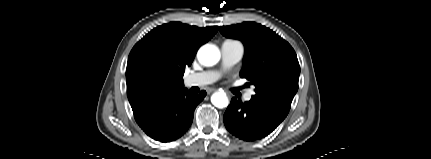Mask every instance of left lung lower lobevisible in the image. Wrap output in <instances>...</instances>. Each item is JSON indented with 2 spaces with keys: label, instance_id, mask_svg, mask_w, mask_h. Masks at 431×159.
I'll return each instance as SVG.
<instances>
[{
  "label": "left lung lower lobe",
  "instance_id": "1",
  "mask_svg": "<svg viewBox=\"0 0 431 159\" xmlns=\"http://www.w3.org/2000/svg\"><path fill=\"white\" fill-rule=\"evenodd\" d=\"M289 109L270 100L251 98L242 103L232 98L224 113L227 130L245 141H254L270 134L288 115Z\"/></svg>",
  "mask_w": 431,
  "mask_h": 159
}]
</instances>
